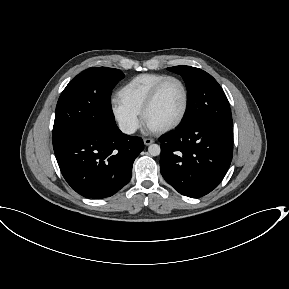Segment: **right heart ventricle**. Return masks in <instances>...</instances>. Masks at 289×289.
<instances>
[{
	"label": "right heart ventricle",
	"instance_id": "obj_1",
	"mask_svg": "<svg viewBox=\"0 0 289 289\" xmlns=\"http://www.w3.org/2000/svg\"><path fill=\"white\" fill-rule=\"evenodd\" d=\"M166 74L143 73L130 79L117 92L118 101L140 114L149 92L156 83L165 78Z\"/></svg>",
	"mask_w": 289,
	"mask_h": 289
}]
</instances>
